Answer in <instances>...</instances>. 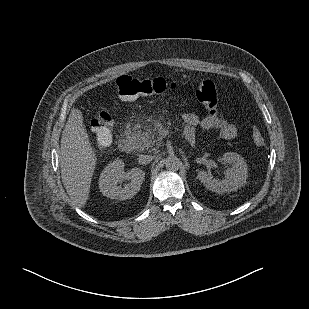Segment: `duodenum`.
Returning <instances> with one entry per match:
<instances>
[{"mask_svg": "<svg viewBox=\"0 0 309 309\" xmlns=\"http://www.w3.org/2000/svg\"><path fill=\"white\" fill-rule=\"evenodd\" d=\"M118 148L124 153H130L134 148V142L128 137H121L118 141Z\"/></svg>", "mask_w": 309, "mask_h": 309, "instance_id": "410a0bca", "label": "duodenum"}]
</instances>
